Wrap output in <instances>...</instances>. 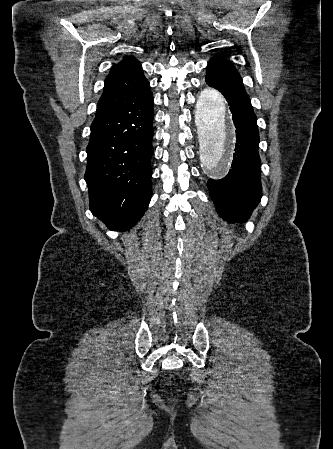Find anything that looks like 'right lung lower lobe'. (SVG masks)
Segmentation results:
<instances>
[{"mask_svg":"<svg viewBox=\"0 0 333 449\" xmlns=\"http://www.w3.org/2000/svg\"><path fill=\"white\" fill-rule=\"evenodd\" d=\"M153 103L150 88L116 109L96 115L87 146L89 207L110 230L133 227L152 193Z\"/></svg>","mask_w":333,"mask_h":449,"instance_id":"obj_1","label":"right lung lower lobe"}]
</instances>
